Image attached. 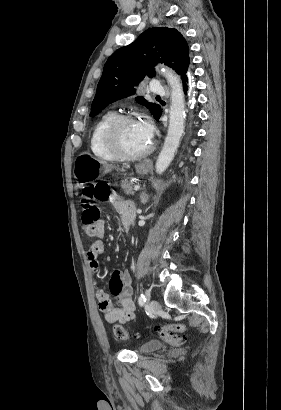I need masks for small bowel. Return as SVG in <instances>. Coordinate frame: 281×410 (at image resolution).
<instances>
[{
  "instance_id": "small-bowel-1",
  "label": "small bowel",
  "mask_w": 281,
  "mask_h": 410,
  "mask_svg": "<svg viewBox=\"0 0 281 410\" xmlns=\"http://www.w3.org/2000/svg\"><path fill=\"white\" fill-rule=\"evenodd\" d=\"M110 203L114 210L119 214L123 226L133 224L135 218V207L133 203L118 195H113ZM105 221L99 220L96 224V236L99 238L93 241L87 252L90 267L93 272L99 270V257L105 252V245L101 238L105 235ZM96 286V297L99 308L105 320L109 323L116 321H129L135 318V303L132 300L131 275L127 270L116 269L112 272L109 288L112 298L103 291L98 282Z\"/></svg>"
}]
</instances>
